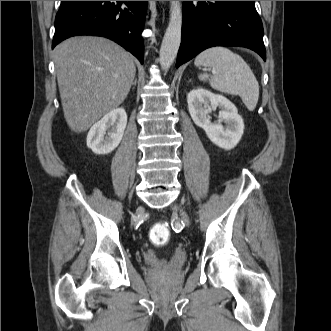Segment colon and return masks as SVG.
Here are the masks:
<instances>
[{
  "label": "colon",
  "instance_id": "colon-1",
  "mask_svg": "<svg viewBox=\"0 0 331 331\" xmlns=\"http://www.w3.org/2000/svg\"><path fill=\"white\" fill-rule=\"evenodd\" d=\"M170 229L167 224L160 222L155 224L149 232V238L155 245H164L170 239Z\"/></svg>",
  "mask_w": 331,
  "mask_h": 331
}]
</instances>
